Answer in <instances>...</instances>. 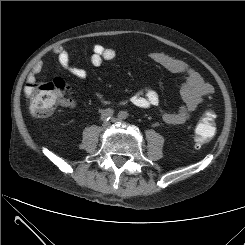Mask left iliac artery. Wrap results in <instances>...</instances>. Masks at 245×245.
<instances>
[{"mask_svg":"<svg viewBox=\"0 0 245 245\" xmlns=\"http://www.w3.org/2000/svg\"><path fill=\"white\" fill-rule=\"evenodd\" d=\"M128 116H129V114L125 111H121L118 114V117H120L121 119H126V118H128Z\"/></svg>","mask_w":245,"mask_h":245,"instance_id":"left-iliac-artery-1","label":"left iliac artery"}]
</instances>
